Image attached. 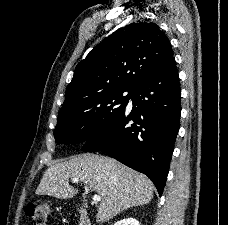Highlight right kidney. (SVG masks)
Returning a JSON list of instances; mask_svg holds the SVG:
<instances>
[{
	"label": "right kidney",
	"mask_w": 228,
	"mask_h": 225,
	"mask_svg": "<svg viewBox=\"0 0 228 225\" xmlns=\"http://www.w3.org/2000/svg\"><path fill=\"white\" fill-rule=\"evenodd\" d=\"M115 225H140L136 219H123V221H117Z\"/></svg>",
	"instance_id": "right-kidney-1"
}]
</instances>
